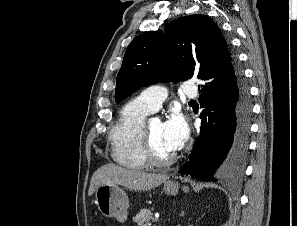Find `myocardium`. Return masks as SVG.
I'll list each match as a JSON object with an SVG mask.
<instances>
[{"label":"myocardium","instance_id":"1","mask_svg":"<svg viewBox=\"0 0 297 226\" xmlns=\"http://www.w3.org/2000/svg\"><path fill=\"white\" fill-rule=\"evenodd\" d=\"M140 140H141L143 153L149 164L153 166L163 167V166H169L176 161L177 159L176 154H172L171 156H168V157H161L157 154V152L155 151L152 145V141L150 138L148 121H144L142 124V127L140 129Z\"/></svg>","mask_w":297,"mask_h":226}]
</instances>
